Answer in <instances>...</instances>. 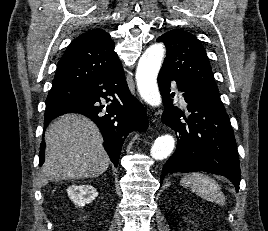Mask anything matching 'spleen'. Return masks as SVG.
Segmentation results:
<instances>
[{"label": "spleen", "mask_w": 268, "mask_h": 231, "mask_svg": "<svg viewBox=\"0 0 268 231\" xmlns=\"http://www.w3.org/2000/svg\"><path fill=\"white\" fill-rule=\"evenodd\" d=\"M181 184L207 201L220 205L225 204V196L217 182L203 173L194 172L187 174L181 180Z\"/></svg>", "instance_id": "3e777b00"}]
</instances>
